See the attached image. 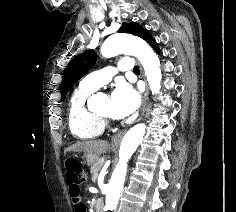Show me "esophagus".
<instances>
[{
	"label": "esophagus",
	"mask_w": 236,
	"mask_h": 212,
	"mask_svg": "<svg viewBox=\"0 0 236 212\" xmlns=\"http://www.w3.org/2000/svg\"><path fill=\"white\" fill-rule=\"evenodd\" d=\"M148 93H149V89H148V84L146 83V89H145L144 98H143V105H142L141 114H140V117H139L138 121L142 118V116L144 115V113L147 109V106H148ZM123 135H124V132H119V133L115 134L112 137V142L114 144L119 143L121 141Z\"/></svg>",
	"instance_id": "1"
}]
</instances>
